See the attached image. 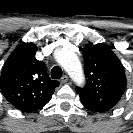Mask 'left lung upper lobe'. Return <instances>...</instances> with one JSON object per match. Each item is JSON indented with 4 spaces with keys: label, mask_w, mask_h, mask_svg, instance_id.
Instances as JSON below:
<instances>
[{
    "label": "left lung upper lobe",
    "mask_w": 133,
    "mask_h": 133,
    "mask_svg": "<svg viewBox=\"0 0 133 133\" xmlns=\"http://www.w3.org/2000/svg\"><path fill=\"white\" fill-rule=\"evenodd\" d=\"M86 85L76 87L82 104L96 112L113 108L126 88L124 68L112 50L96 44L83 49Z\"/></svg>",
    "instance_id": "left-lung-upper-lobe-1"
}]
</instances>
